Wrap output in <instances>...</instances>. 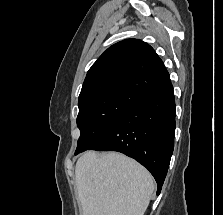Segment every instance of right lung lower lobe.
I'll return each instance as SVG.
<instances>
[{"label":"right lung lower lobe","instance_id":"98d812e1","mask_svg":"<svg viewBox=\"0 0 223 215\" xmlns=\"http://www.w3.org/2000/svg\"><path fill=\"white\" fill-rule=\"evenodd\" d=\"M175 99L170 83L134 103L88 150L118 151L134 158L154 176L157 195L174 148Z\"/></svg>","mask_w":223,"mask_h":215}]
</instances>
